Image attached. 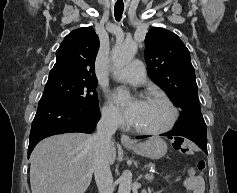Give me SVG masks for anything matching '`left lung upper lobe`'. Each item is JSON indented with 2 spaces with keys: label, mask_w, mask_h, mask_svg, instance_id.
I'll use <instances>...</instances> for the list:
<instances>
[{
  "label": "left lung upper lobe",
  "mask_w": 237,
  "mask_h": 193,
  "mask_svg": "<svg viewBox=\"0 0 237 193\" xmlns=\"http://www.w3.org/2000/svg\"><path fill=\"white\" fill-rule=\"evenodd\" d=\"M145 60L149 77L181 109L174 129L207 134L198 103L195 71L182 40L164 28L150 29L145 38Z\"/></svg>",
  "instance_id": "1"
}]
</instances>
